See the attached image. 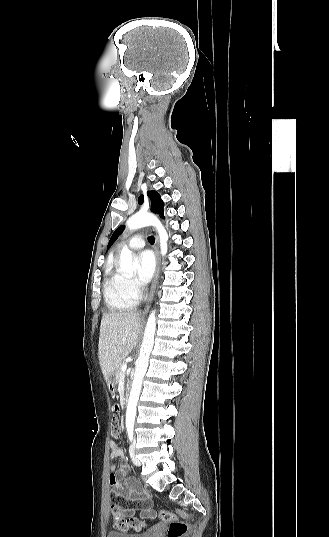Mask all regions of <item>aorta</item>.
<instances>
[{
    "label": "aorta",
    "instance_id": "obj_1",
    "mask_svg": "<svg viewBox=\"0 0 329 537\" xmlns=\"http://www.w3.org/2000/svg\"><path fill=\"white\" fill-rule=\"evenodd\" d=\"M154 226L160 237L161 254L165 255L168 250L167 241L168 233L160 220L150 213L138 212L131 216L127 221L129 230H136L145 226ZM137 267L136 261L133 260L131 251L125 246L120 253V271L124 273H133ZM156 333L155 312L152 311L148 317L139 357L136 361L134 379L130 391V396L126 411V427L133 428L136 416V406L141 392L143 377L148 368L149 357L154 345V336Z\"/></svg>",
    "mask_w": 329,
    "mask_h": 537
}]
</instances>
